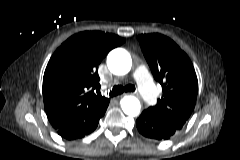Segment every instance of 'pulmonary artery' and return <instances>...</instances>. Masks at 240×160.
Segmentation results:
<instances>
[{
  "instance_id": "pulmonary-artery-1",
  "label": "pulmonary artery",
  "mask_w": 240,
  "mask_h": 160,
  "mask_svg": "<svg viewBox=\"0 0 240 160\" xmlns=\"http://www.w3.org/2000/svg\"><path fill=\"white\" fill-rule=\"evenodd\" d=\"M133 78L138 84V90L143 99L149 104H154L157 91L147 68L145 66H138L133 73Z\"/></svg>"
}]
</instances>
